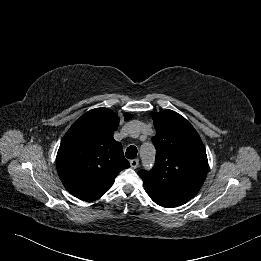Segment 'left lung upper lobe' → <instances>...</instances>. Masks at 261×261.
I'll use <instances>...</instances> for the list:
<instances>
[{
    "label": "left lung upper lobe",
    "mask_w": 261,
    "mask_h": 261,
    "mask_svg": "<svg viewBox=\"0 0 261 261\" xmlns=\"http://www.w3.org/2000/svg\"><path fill=\"white\" fill-rule=\"evenodd\" d=\"M156 129L152 142L155 165L140 170L146 187L193 198L203 185L208 160L203 142L194 127L180 114L164 110L151 114Z\"/></svg>",
    "instance_id": "left-lung-upper-lobe-1"
}]
</instances>
